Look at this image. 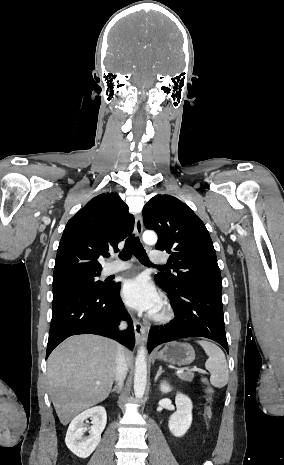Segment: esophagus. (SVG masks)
Here are the masks:
<instances>
[{
    "mask_svg": "<svg viewBox=\"0 0 284 465\" xmlns=\"http://www.w3.org/2000/svg\"><path fill=\"white\" fill-rule=\"evenodd\" d=\"M142 232H143L142 216L141 214H137L135 216V233L136 235L141 236ZM133 325H134L136 342L139 344L142 340L143 334L145 333V329L138 320H134Z\"/></svg>",
    "mask_w": 284,
    "mask_h": 465,
    "instance_id": "obj_1",
    "label": "esophagus"
}]
</instances>
